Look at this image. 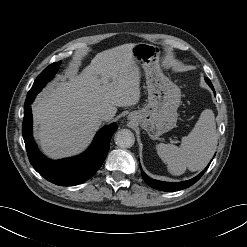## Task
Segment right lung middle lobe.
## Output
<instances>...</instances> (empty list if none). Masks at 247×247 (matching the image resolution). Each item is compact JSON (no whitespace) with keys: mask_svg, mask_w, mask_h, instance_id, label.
Returning a JSON list of instances; mask_svg holds the SVG:
<instances>
[{"mask_svg":"<svg viewBox=\"0 0 247 247\" xmlns=\"http://www.w3.org/2000/svg\"><path fill=\"white\" fill-rule=\"evenodd\" d=\"M60 63L61 62L52 63L46 69H44L42 73L38 75L33 83V87L30 90L40 91L46 85V83L55 75Z\"/></svg>","mask_w":247,"mask_h":247,"instance_id":"obj_1","label":"right lung middle lobe"}]
</instances>
